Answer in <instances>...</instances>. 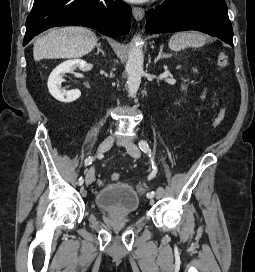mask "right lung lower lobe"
<instances>
[{
  "mask_svg": "<svg viewBox=\"0 0 255 272\" xmlns=\"http://www.w3.org/2000/svg\"><path fill=\"white\" fill-rule=\"evenodd\" d=\"M131 15L130 6L120 0H34L23 45L49 28L64 25L90 27L117 37L129 32Z\"/></svg>",
  "mask_w": 255,
  "mask_h": 272,
  "instance_id": "right-lung-lower-lobe-1",
  "label": "right lung lower lobe"
}]
</instances>
